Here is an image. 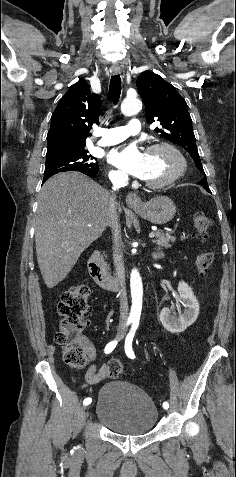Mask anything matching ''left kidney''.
I'll return each instance as SVG.
<instances>
[{
    "instance_id": "5707ae66",
    "label": "left kidney",
    "mask_w": 236,
    "mask_h": 477,
    "mask_svg": "<svg viewBox=\"0 0 236 477\" xmlns=\"http://www.w3.org/2000/svg\"><path fill=\"white\" fill-rule=\"evenodd\" d=\"M178 292L180 303L184 306L183 314L176 317L171 315L172 308H164L159 316L164 328L173 334L185 331L196 321L199 315V303L189 285L183 281L179 282ZM176 305L180 306L179 303Z\"/></svg>"
}]
</instances>
